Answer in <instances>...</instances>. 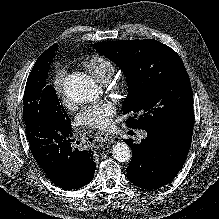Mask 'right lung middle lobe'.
<instances>
[{"label":"right lung middle lobe","mask_w":219,"mask_h":219,"mask_svg":"<svg viewBox=\"0 0 219 219\" xmlns=\"http://www.w3.org/2000/svg\"><path fill=\"white\" fill-rule=\"evenodd\" d=\"M56 48L57 44H54L39 56L27 79L23 98L25 123L45 114L58 118L64 126H71V120L60 103L55 89L46 84Z\"/></svg>","instance_id":"right-lung-middle-lobe-1"}]
</instances>
